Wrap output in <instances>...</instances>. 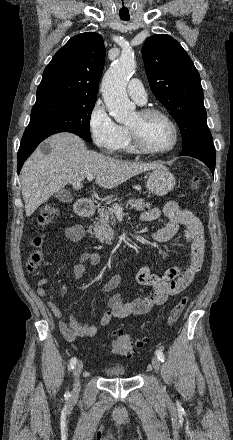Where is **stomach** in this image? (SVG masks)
<instances>
[{
    "instance_id": "stomach-1",
    "label": "stomach",
    "mask_w": 233,
    "mask_h": 440,
    "mask_svg": "<svg viewBox=\"0 0 233 440\" xmlns=\"http://www.w3.org/2000/svg\"><path fill=\"white\" fill-rule=\"evenodd\" d=\"M175 184V177L167 168H157L149 173L146 186L149 192L157 196H165Z\"/></svg>"
}]
</instances>
